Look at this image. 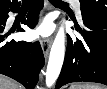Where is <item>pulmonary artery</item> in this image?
Masks as SVG:
<instances>
[{
	"mask_svg": "<svg viewBox=\"0 0 107 89\" xmlns=\"http://www.w3.org/2000/svg\"><path fill=\"white\" fill-rule=\"evenodd\" d=\"M72 3L75 6L76 12H77V17L79 20H82L81 12H80V3L78 0H73Z\"/></svg>",
	"mask_w": 107,
	"mask_h": 89,
	"instance_id": "e3ab8cb5",
	"label": "pulmonary artery"
}]
</instances>
